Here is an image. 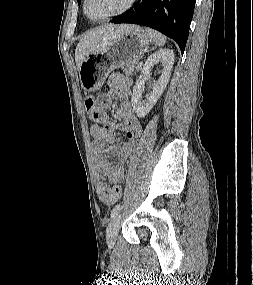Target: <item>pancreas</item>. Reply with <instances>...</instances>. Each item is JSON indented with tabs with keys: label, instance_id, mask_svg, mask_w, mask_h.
I'll use <instances>...</instances> for the list:
<instances>
[{
	"label": "pancreas",
	"instance_id": "1",
	"mask_svg": "<svg viewBox=\"0 0 253 285\" xmlns=\"http://www.w3.org/2000/svg\"><path fill=\"white\" fill-rule=\"evenodd\" d=\"M135 63H132L128 66H124L122 67V70L123 72L126 74V75H132L134 73V69H135Z\"/></svg>",
	"mask_w": 253,
	"mask_h": 285
}]
</instances>
